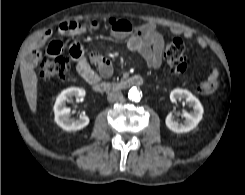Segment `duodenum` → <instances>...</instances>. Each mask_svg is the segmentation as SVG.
<instances>
[{
	"instance_id": "obj_1",
	"label": "duodenum",
	"mask_w": 245,
	"mask_h": 195,
	"mask_svg": "<svg viewBox=\"0 0 245 195\" xmlns=\"http://www.w3.org/2000/svg\"><path fill=\"white\" fill-rule=\"evenodd\" d=\"M143 78L140 75H134L118 82L97 81L92 84L93 89L97 92H110L128 89L134 86H141Z\"/></svg>"
}]
</instances>
